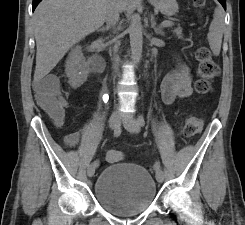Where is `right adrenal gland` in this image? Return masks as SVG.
Segmentation results:
<instances>
[{"label":"right adrenal gland","mask_w":245,"mask_h":225,"mask_svg":"<svg viewBox=\"0 0 245 225\" xmlns=\"http://www.w3.org/2000/svg\"><path fill=\"white\" fill-rule=\"evenodd\" d=\"M109 30V27L106 26V27H102L101 29L97 30L98 32H106Z\"/></svg>","instance_id":"right-adrenal-gland-1"}]
</instances>
